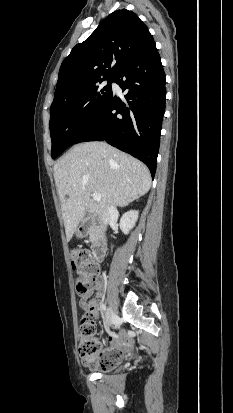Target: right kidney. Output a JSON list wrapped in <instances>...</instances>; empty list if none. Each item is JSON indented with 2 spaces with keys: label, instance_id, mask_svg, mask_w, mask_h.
<instances>
[{
  "label": "right kidney",
  "instance_id": "ca27d5eb",
  "mask_svg": "<svg viewBox=\"0 0 233 413\" xmlns=\"http://www.w3.org/2000/svg\"><path fill=\"white\" fill-rule=\"evenodd\" d=\"M139 212L137 210H130L124 213L120 219V229L124 234H128L130 230L135 226L138 219Z\"/></svg>",
  "mask_w": 233,
  "mask_h": 413
}]
</instances>
